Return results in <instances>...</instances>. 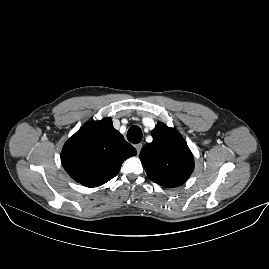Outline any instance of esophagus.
I'll use <instances>...</instances> for the list:
<instances>
[{
  "mask_svg": "<svg viewBox=\"0 0 269 269\" xmlns=\"http://www.w3.org/2000/svg\"><path fill=\"white\" fill-rule=\"evenodd\" d=\"M135 149L137 151V156L139 155L140 151H141V148H142V144L141 143H138L136 144L135 146Z\"/></svg>",
  "mask_w": 269,
  "mask_h": 269,
  "instance_id": "1",
  "label": "esophagus"
}]
</instances>
